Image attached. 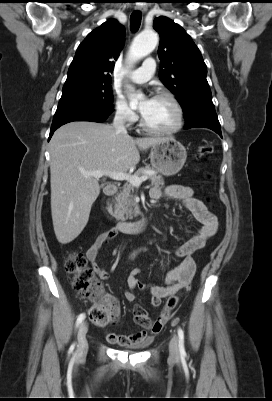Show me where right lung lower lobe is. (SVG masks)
<instances>
[{
	"mask_svg": "<svg viewBox=\"0 0 272 401\" xmlns=\"http://www.w3.org/2000/svg\"><path fill=\"white\" fill-rule=\"evenodd\" d=\"M109 116V115H108ZM108 116H102L94 113H80V114H75L60 120H57L55 122H52L51 130H50V135H49V140L52 137L54 131L59 128L60 126L72 122V121H92V122H103L107 119Z\"/></svg>",
	"mask_w": 272,
	"mask_h": 401,
	"instance_id": "right-lung-lower-lobe-1",
	"label": "right lung lower lobe"
}]
</instances>
